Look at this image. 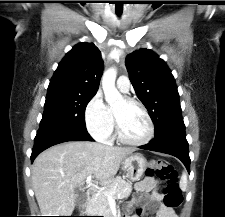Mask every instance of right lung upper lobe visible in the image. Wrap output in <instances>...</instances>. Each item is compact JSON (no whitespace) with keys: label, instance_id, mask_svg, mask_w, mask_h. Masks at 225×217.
<instances>
[{"label":"right lung upper lobe","instance_id":"obj_1","mask_svg":"<svg viewBox=\"0 0 225 217\" xmlns=\"http://www.w3.org/2000/svg\"><path fill=\"white\" fill-rule=\"evenodd\" d=\"M99 49L92 43H79L59 63L48 93L95 95L102 75Z\"/></svg>","mask_w":225,"mask_h":217}]
</instances>
